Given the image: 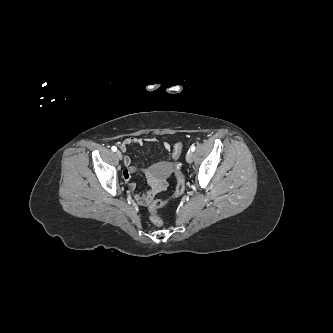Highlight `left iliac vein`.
I'll return each instance as SVG.
<instances>
[{"label":"left iliac vein","instance_id":"1","mask_svg":"<svg viewBox=\"0 0 333 333\" xmlns=\"http://www.w3.org/2000/svg\"><path fill=\"white\" fill-rule=\"evenodd\" d=\"M186 161L188 163H192L193 161V152L191 150H189L186 154Z\"/></svg>","mask_w":333,"mask_h":333}]
</instances>
